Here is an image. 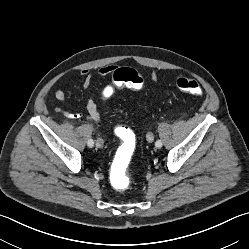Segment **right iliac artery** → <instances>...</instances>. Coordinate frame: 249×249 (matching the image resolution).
<instances>
[{
	"instance_id": "right-iliac-artery-1",
	"label": "right iliac artery",
	"mask_w": 249,
	"mask_h": 249,
	"mask_svg": "<svg viewBox=\"0 0 249 249\" xmlns=\"http://www.w3.org/2000/svg\"><path fill=\"white\" fill-rule=\"evenodd\" d=\"M87 144H88L89 147H93L94 141L92 139H89Z\"/></svg>"
}]
</instances>
